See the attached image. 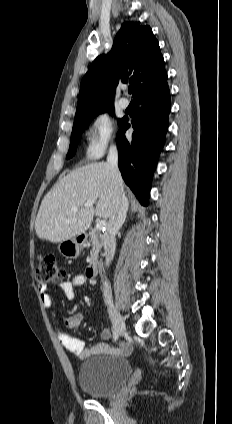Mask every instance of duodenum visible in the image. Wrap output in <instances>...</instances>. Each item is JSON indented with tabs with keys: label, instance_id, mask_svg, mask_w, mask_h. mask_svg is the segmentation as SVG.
I'll list each match as a JSON object with an SVG mask.
<instances>
[{
	"label": "duodenum",
	"instance_id": "duodenum-1",
	"mask_svg": "<svg viewBox=\"0 0 232 424\" xmlns=\"http://www.w3.org/2000/svg\"><path fill=\"white\" fill-rule=\"evenodd\" d=\"M82 238L83 239H86L87 238V235L86 234H83L82 235ZM100 266H101V261H100L99 257H93L90 260V262H89V264L87 266V273H88V275H90V276L97 275L98 272H99V270H100Z\"/></svg>",
	"mask_w": 232,
	"mask_h": 424
}]
</instances>
